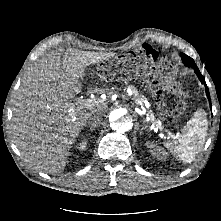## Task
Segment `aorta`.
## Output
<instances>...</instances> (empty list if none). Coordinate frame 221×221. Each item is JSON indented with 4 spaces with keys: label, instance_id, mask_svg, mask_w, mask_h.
Segmentation results:
<instances>
[{
    "label": "aorta",
    "instance_id": "obj_1",
    "mask_svg": "<svg viewBox=\"0 0 221 221\" xmlns=\"http://www.w3.org/2000/svg\"><path fill=\"white\" fill-rule=\"evenodd\" d=\"M110 127L116 133H126L134 126V119L125 109H116L110 114Z\"/></svg>",
    "mask_w": 221,
    "mask_h": 221
}]
</instances>
